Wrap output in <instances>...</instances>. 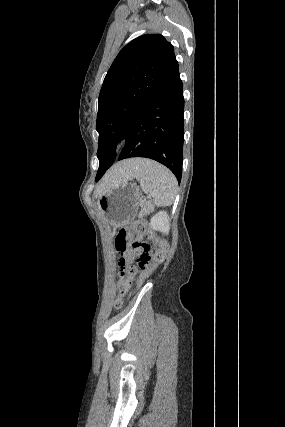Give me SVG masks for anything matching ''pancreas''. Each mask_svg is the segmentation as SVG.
<instances>
[{"label":"pancreas","instance_id":"pancreas-1","mask_svg":"<svg viewBox=\"0 0 285 427\" xmlns=\"http://www.w3.org/2000/svg\"><path fill=\"white\" fill-rule=\"evenodd\" d=\"M152 209H153V206H152L151 202H150V201L146 202V203L143 205V208L141 209V211H140V213H139V216H140V217L145 216V215H146L147 213H149Z\"/></svg>","mask_w":285,"mask_h":427}]
</instances>
